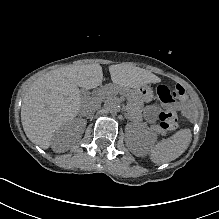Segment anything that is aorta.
I'll use <instances>...</instances> for the list:
<instances>
[{
    "label": "aorta",
    "mask_w": 219,
    "mask_h": 219,
    "mask_svg": "<svg viewBox=\"0 0 219 219\" xmlns=\"http://www.w3.org/2000/svg\"><path fill=\"white\" fill-rule=\"evenodd\" d=\"M104 107L108 112H110L112 114L120 111L119 103L114 98H110V99L105 100Z\"/></svg>",
    "instance_id": "aorta-1"
}]
</instances>
